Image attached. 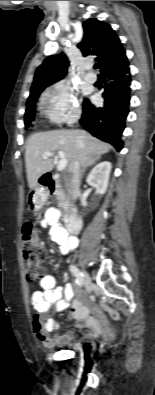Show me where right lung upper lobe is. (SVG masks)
I'll return each instance as SVG.
<instances>
[{
  "label": "right lung upper lobe",
  "mask_w": 155,
  "mask_h": 395,
  "mask_svg": "<svg viewBox=\"0 0 155 395\" xmlns=\"http://www.w3.org/2000/svg\"><path fill=\"white\" fill-rule=\"evenodd\" d=\"M83 29L84 37L77 47L83 56H98V67L101 72L128 62L122 43L108 23L95 18L88 19L83 22ZM68 66V58L63 53L46 58L36 70L30 97L62 79L67 73Z\"/></svg>",
  "instance_id": "right-lung-upper-lobe-1"
}]
</instances>
